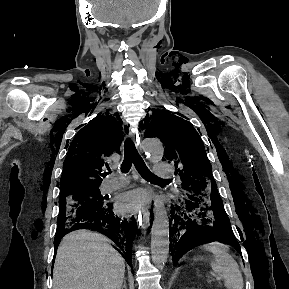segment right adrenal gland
Instances as JSON below:
<instances>
[{
  "label": "right adrenal gland",
  "instance_id": "right-adrenal-gland-1",
  "mask_svg": "<svg viewBox=\"0 0 289 289\" xmlns=\"http://www.w3.org/2000/svg\"><path fill=\"white\" fill-rule=\"evenodd\" d=\"M122 289H127V287H126V279L124 278V280H123V286H122Z\"/></svg>",
  "mask_w": 289,
  "mask_h": 289
}]
</instances>
